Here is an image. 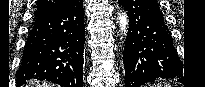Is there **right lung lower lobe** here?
<instances>
[{
	"instance_id": "98d812e1",
	"label": "right lung lower lobe",
	"mask_w": 205,
	"mask_h": 87,
	"mask_svg": "<svg viewBox=\"0 0 205 87\" xmlns=\"http://www.w3.org/2000/svg\"><path fill=\"white\" fill-rule=\"evenodd\" d=\"M83 0L34 18L23 53L16 84L30 79L48 80L63 87H83Z\"/></svg>"
}]
</instances>
